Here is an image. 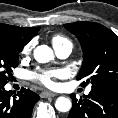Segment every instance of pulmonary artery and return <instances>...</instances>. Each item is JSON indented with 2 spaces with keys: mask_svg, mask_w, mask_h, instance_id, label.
<instances>
[{
  "mask_svg": "<svg viewBox=\"0 0 118 118\" xmlns=\"http://www.w3.org/2000/svg\"><path fill=\"white\" fill-rule=\"evenodd\" d=\"M55 50H56V53L57 55L60 57V58H67L72 50H73V45L69 42L63 46H60V47H55ZM90 91V88L87 89V92Z\"/></svg>",
  "mask_w": 118,
  "mask_h": 118,
  "instance_id": "pulmonary-artery-1",
  "label": "pulmonary artery"
}]
</instances>
